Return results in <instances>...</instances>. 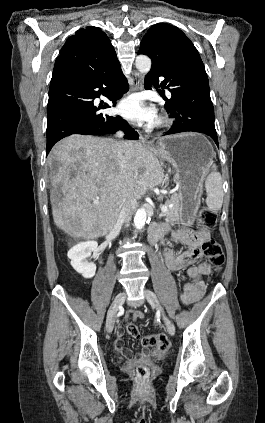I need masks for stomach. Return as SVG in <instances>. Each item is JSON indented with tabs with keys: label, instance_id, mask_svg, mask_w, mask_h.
I'll return each instance as SVG.
<instances>
[{
	"label": "stomach",
	"instance_id": "0dacf381",
	"mask_svg": "<svg viewBox=\"0 0 265 423\" xmlns=\"http://www.w3.org/2000/svg\"><path fill=\"white\" fill-rule=\"evenodd\" d=\"M152 153L174 167L179 192V219L192 225L200 206L202 183L213 162L214 150L207 138L198 133H181L159 141Z\"/></svg>",
	"mask_w": 265,
	"mask_h": 423
}]
</instances>
